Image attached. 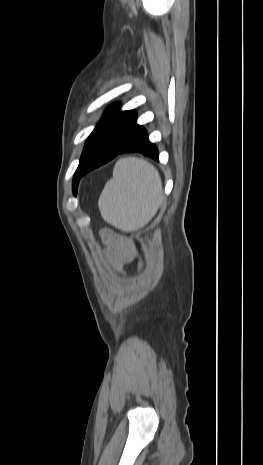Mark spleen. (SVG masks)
Returning a JSON list of instances; mask_svg holds the SVG:
<instances>
[{
    "mask_svg": "<svg viewBox=\"0 0 263 465\" xmlns=\"http://www.w3.org/2000/svg\"><path fill=\"white\" fill-rule=\"evenodd\" d=\"M162 200L158 171L143 159L119 160L98 201L102 218L114 227L130 232L147 224Z\"/></svg>",
    "mask_w": 263,
    "mask_h": 465,
    "instance_id": "obj_1",
    "label": "spleen"
}]
</instances>
